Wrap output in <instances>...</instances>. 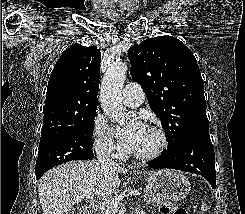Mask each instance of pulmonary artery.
<instances>
[{
	"mask_svg": "<svg viewBox=\"0 0 245 214\" xmlns=\"http://www.w3.org/2000/svg\"><path fill=\"white\" fill-rule=\"evenodd\" d=\"M123 102L132 108L140 106L144 101L142 87L134 82L128 83L122 91Z\"/></svg>",
	"mask_w": 245,
	"mask_h": 214,
	"instance_id": "pulmonary-artery-1",
	"label": "pulmonary artery"
}]
</instances>
